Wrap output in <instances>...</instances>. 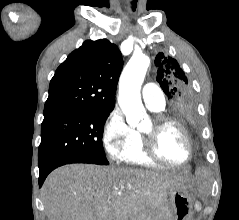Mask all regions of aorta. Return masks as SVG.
<instances>
[{"label":"aorta","mask_w":239,"mask_h":220,"mask_svg":"<svg viewBox=\"0 0 239 220\" xmlns=\"http://www.w3.org/2000/svg\"><path fill=\"white\" fill-rule=\"evenodd\" d=\"M149 64L148 56L134 55L127 63L120 78L118 103L130 126H137L140 120L146 117L140 90Z\"/></svg>","instance_id":"1"}]
</instances>
